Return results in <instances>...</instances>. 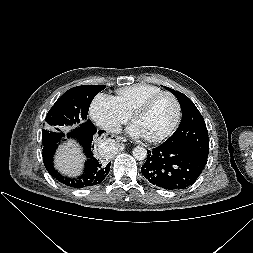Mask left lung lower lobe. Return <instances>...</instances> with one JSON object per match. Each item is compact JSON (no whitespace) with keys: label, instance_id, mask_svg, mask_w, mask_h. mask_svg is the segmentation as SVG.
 Returning <instances> with one entry per match:
<instances>
[{"label":"left lung lower lobe","instance_id":"left-lung-lower-lobe-1","mask_svg":"<svg viewBox=\"0 0 253 253\" xmlns=\"http://www.w3.org/2000/svg\"><path fill=\"white\" fill-rule=\"evenodd\" d=\"M141 167L143 176L153 185L167 190L185 189L192 185L204 169L207 158L184 147L160 145L147 150Z\"/></svg>","mask_w":253,"mask_h":253}]
</instances>
